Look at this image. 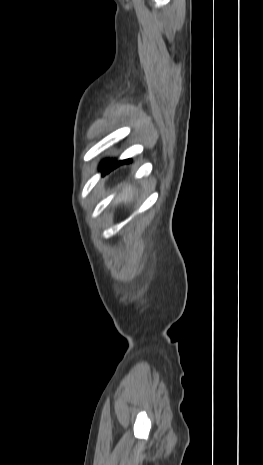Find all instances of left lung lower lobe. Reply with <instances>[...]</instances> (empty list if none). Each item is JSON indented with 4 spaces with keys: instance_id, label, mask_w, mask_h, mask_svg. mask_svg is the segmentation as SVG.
Wrapping results in <instances>:
<instances>
[{
    "instance_id": "obj_1",
    "label": "left lung lower lobe",
    "mask_w": 263,
    "mask_h": 465,
    "mask_svg": "<svg viewBox=\"0 0 263 465\" xmlns=\"http://www.w3.org/2000/svg\"><path fill=\"white\" fill-rule=\"evenodd\" d=\"M130 159H127V160H124V161H120V162H114L113 160H105L104 162H102L101 164V171H102V174H105L107 172H109L110 170L114 169L115 167H117L119 164H122V163H125V162H129Z\"/></svg>"
}]
</instances>
